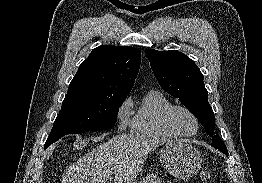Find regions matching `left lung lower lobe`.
Wrapping results in <instances>:
<instances>
[{"mask_svg": "<svg viewBox=\"0 0 262 183\" xmlns=\"http://www.w3.org/2000/svg\"><path fill=\"white\" fill-rule=\"evenodd\" d=\"M217 149V148H216ZM221 152H223L226 156H228V151H222V150H220Z\"/></svg>", "mask_w": 262, "mask_h": 183, "instance_id": "1", "label": "left lung lower lobe"}]
</instances>
